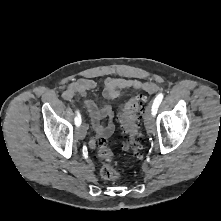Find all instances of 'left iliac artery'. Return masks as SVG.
<instances>
[{"label":"left iliac artery","instance_id":"44dca946","mask_svg":"<svg viewBox=\"0 0 221 221\" xmlns=\"http://www.w3.org/2000/svg\"><path fill=\"white\" fill-rule=\"evenodd\" d=\"M164 94L163 93H159L155 99L154 102L152 104V115L155 116L158 110L159 105L161 104L162 100H163Z\"/></svg>","mask_w":221,"mask_h":221}]
</instances>
